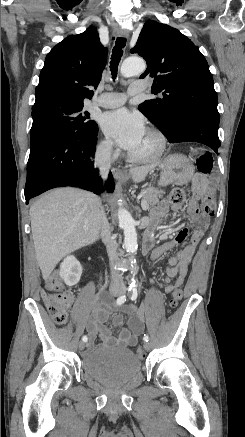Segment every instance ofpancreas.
Instances as JSON below:
<instances>
[{
	"label": "pancreas",
	"mask_w": 245,
	"mask_h": 437,
	"mask_svg": "<svg viewBox=\"0 0 245 437\" xmlns=\"http://www.w3.org/2000/svg\"><path fill=\"white\" fill-rule=\"evenodd\" d=\"M140 194L142 196V201H146L147 205L150 208H153L159 202V199L164 194V191L155 187H149L142 190Z\"/></svg>",
	"instance_id": "obj_1"
}]
</instances>
